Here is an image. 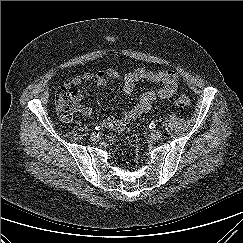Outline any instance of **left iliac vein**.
<instances>
[{
	"label": "left iliac vein",
	"instance_id": "left-iliac-vein-1",
	"mask_svg": "<svg viewBox=\"0 0 243 243\" xmlns=\"http://www.w3.org/2000/svg\"><path fill=\"white\" fill-rule=\"evenodd\" d=\"M161 137H162V133H161V131H159V130H154V131L151 132V138H152L153 140H159V139H161Z\"/></svg>",
	"mask_w": 243,
	"mask_h": 243
}]
</instances>
